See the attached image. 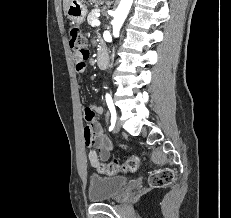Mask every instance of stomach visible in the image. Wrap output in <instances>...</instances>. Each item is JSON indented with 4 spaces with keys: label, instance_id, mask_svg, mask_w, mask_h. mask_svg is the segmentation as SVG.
I'll return each mask as SVG.
<instances>
[{
    "label": "stomach",
    "instance_id": "0dacf381",
    "mask_svg": "<svg viewBox=\"0 0 231 218\" xmlns=\"http://www.w3.org/2000/svg\"><path fill=\"white\" fill-rule=\"evenodd\" d=\"M93 1L96 2L97 0ZM87 12L88 10L84 4V0H71L66 15L70 21L76 24H81L84 22Z\"/></svg>",
    "mask_w": 231,
    "mask_h": 218
}]
</instances>
